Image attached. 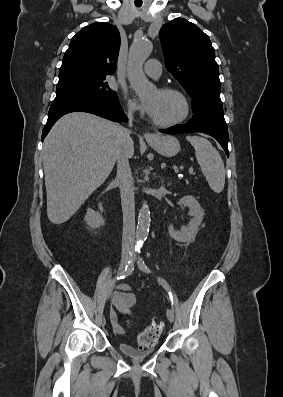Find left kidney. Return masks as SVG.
Masks as SVG:
<instances>
[{
  "label": "left kidney",
  "instance_id": "obj_1",
  "mask_svg": "<svg viewBox=\"0 0 283 397\" xmlns=\"http://www.w3.org/2000/svg\"><path fill=\"white\" fill-rule=\"evenodd\" d=\"M179 202L189 208L192 219L188 225L182 227L180 231L175 230L173 225H169L168 231L174 240L188 243L191 242L198 233L199 226L203 220L204 210L201 208L198 201L190 195L182 197Z\"/></svg>",
  "mask_w": 283,
  "mask_h": 397
}]
</instances>
